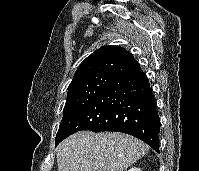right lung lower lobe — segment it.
Wrapping results in <instances>:
<instances>
[{
	"label": "right lung lower lobe",
	"instance_id": "right-lung-lower-lobe-1",
	"mask_svg": "<svg viewBox=\"0 0 199 171\" xmlns=\"http://www.w3.org/2000/svg\"><path fill=\"white\" fill-rule=\"evenodd\" d=\"M81 130L130 134L159 153L160 118L153 91L139 64L120 72L99 89L70 122L56 145Z\"/></svg>",
	"mask_w": 199,
	"mask_h": 171
}]
</instances>
